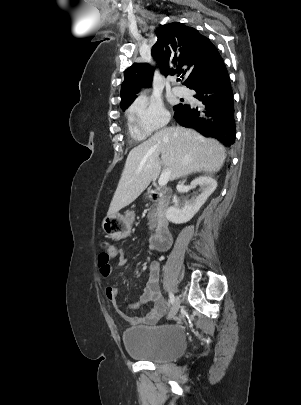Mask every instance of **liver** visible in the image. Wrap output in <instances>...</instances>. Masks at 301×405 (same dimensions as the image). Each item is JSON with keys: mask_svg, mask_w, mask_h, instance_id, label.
Returning <instances> with one entry per match:
<instances>
[{"mask_svg": "<svg viewBox=\"0 0 301 405\" xmlns=\"http://www.w3.org/2000/svg\"><path fill=\"white\" fill-rule=\"evenodd\" d=\"M225 158V148L215 139L182 127L164 128L129 152L108 215L131 204L162 166L170 172L169 179L176 180L195 172H218Z\"/></svg>", "mask_w": 301, "mask_h": 405, "instance_id": "6515ba94", "label": "liver"}]
</instances>
